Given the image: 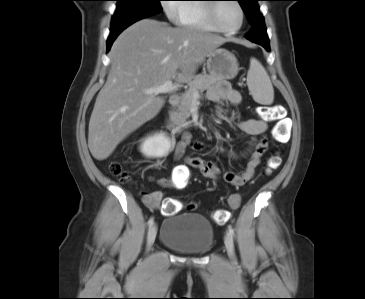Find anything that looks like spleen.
I'll return each instance as SVG.
<instances>
[{
	"label": "spleen",
	"mask_w": 365,
	"mask_h": 299,
	"mask_svg": "<svg viewBox=\"0 0 365 299\" xmlns=\"http://www.w3.org/2000/svg\"><path fill=\"white\" fill-rule=\"evenodd\" d=\"M247 85L253 99L263 105H270L274 100L271 80L262 64L255 58L250 59Z\"/></svg>",
	"instance_id": "3e777b00"
}]
</instances>
